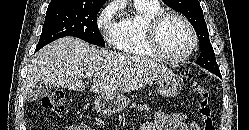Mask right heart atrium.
Listing matches in <instances>:
<instances>
[{"label":"right heart atrium","mask_w":249,"mask_h":130,"mask_svg":"<svg viewBox=\"0 0 249 130\" xmlns=\"http://www.w3.org/2000/svg\"><path fill=\"white\" fill-rule=\"evenodd\" d=\"M117 13V5L113 2L104 6L97 15L96 25L98 29L104 33L108 41H112L113 34L117 27L115 16Z\"/></svg>","instance_id":"right-heart-atrium-1"}]
</instances>
